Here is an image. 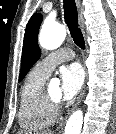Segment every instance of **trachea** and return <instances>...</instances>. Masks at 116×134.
Segmentation results:
<instances>
[{
  "instance_id": "trachea-1",
  "label": "trachea",
  "mask_w": 116,
  "mask_h": 134,
  "mask_svg": "<svg viewBox=\"0 0 116 134\" xmlns=\"http://www.w3.org/2000/svg\"><path fill=\"white\" fill-rule=\"evenodd\" d=\"M64 19L74 43L81 49H85V41L78 25V12L75 0H63Z\"/></svg>"
}]
</instances>
